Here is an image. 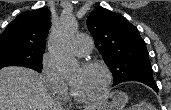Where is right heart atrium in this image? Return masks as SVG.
I'll return each mask as SVG.
<instances>
[{"mask_svg":"<svg viewBox=\"0 0 171 110\" xmlns=\"http://www.w3.org/2000/svg\"><path fill=\"white\" fill-rule=\"evenodd\" d=\"M40 75L49 92L58 99H63L67 92V86L53 63L49 54L45 53L40 63Z\"/></svg>","mask_w":171,"mask_h":110,"instance_id":"obj_1","label":"right heart atrium"}]
</instances>
